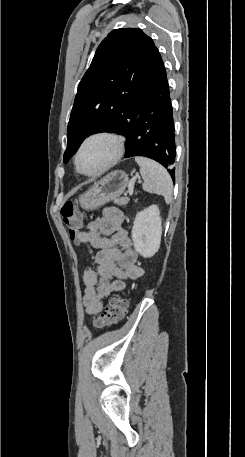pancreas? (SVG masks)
Here are the masks:
<instances>
[{
    "label": "pancreas",
    "mask_w": 245,
    "mask_h": 457,
    "mask_svg": "<svg viewBox=\"0 0 245 457\" xmlns=\"http://www.w3.org/2000/svg\"><path fill=\"white\" fill-rule=\"evenodd\" d=\"M129 198L128 196H121V198H115L114 202H116V204H127Z\"/></svg>",
    "instance_id": "1"
}]
</instances>
